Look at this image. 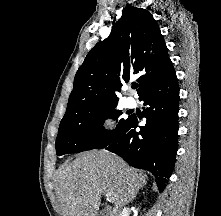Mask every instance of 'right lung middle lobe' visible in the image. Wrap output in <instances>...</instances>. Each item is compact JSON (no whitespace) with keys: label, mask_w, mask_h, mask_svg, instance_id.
<instances>
[{"label":"right lung middle lobe","mask_w":221,"mask_h":216,"mask_svg":"<svg viewBox=\"0 0 221 216\" xmlns=\"http://www.w3.org/2000/svg\"><path fill=\"white\" fill-rule=\"evenodd\" d=\"M115 107L116 104L103 106L62 119L56 139L57 156L101 149L111 144L130 119H121L113 131L105 130L102 125L106 118L117 119L122 114Z\"/></svg>","instance_id":"obj_1"}]
</instances>
